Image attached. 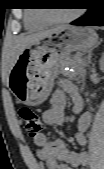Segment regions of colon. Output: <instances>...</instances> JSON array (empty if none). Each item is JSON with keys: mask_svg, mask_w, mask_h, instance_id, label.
Instances as JSON below:
<instances>
[{"mask_svg": "<svg viewBox=\"0 0 104 169\" xmlns=\"http://www.w3.org/2000/svg\"><path fill=\"white\" fill-rule=\"evenodd\" d=\"M18 116L24 130L30 137L35 138L40 135L43 129V122L37 112L30 108L22 107L18 111Z\"/></svg>", "mask_w": 104, "mask_h": 169, "instance_id": "colon-1", "label": "colon"}]
</instances>
